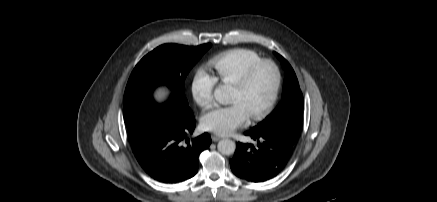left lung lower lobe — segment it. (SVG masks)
<instances>
[{
  "instance_id": "0a47b994",
  "label": "left lung lower lobe",
  "mask_w": 437,
  "mask_h": 202,
  "mask_svg": "<svg viewBox=\"0 0 437 202\" xmlns=\"http://www.w3.org/2000/svg\"><path fill=\"white\" fill-rule=\"evenodd\" d=\"M244 134L257 144L237 143L235 154L230 160L232 172L251 182H264L276 176L290 158L294 142L274 132L251 129Z\"/></svg>"
}]
</instances>
